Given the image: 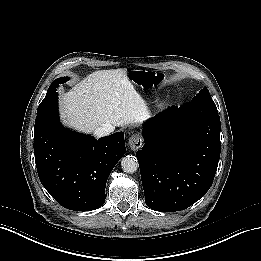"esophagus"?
Listing matches in <instances>:
<instances>
[{
  "label": "esophagus",
  "instance_id": "obj_1",
  "mask_svg": "<svg viewBox=\"0 0 261 261\" xmlns=\"http://www.w3.org/2000/svg\"><path fill=\"white\" fill-rule=\"evenodd\" d=\"M128 145L131 148V150H138L143 145V138L139 134H134L129 138Z\"/></svg>",
  "mask_w": 261,
  "mask_h": 261
}]
</instances>
